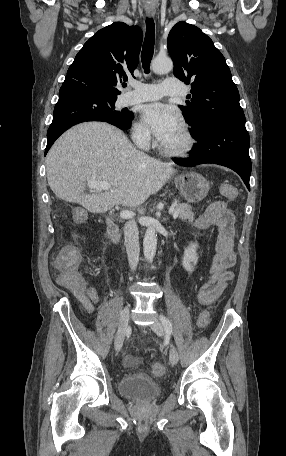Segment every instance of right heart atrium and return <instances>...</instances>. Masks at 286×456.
Returning <instances> with one entry per match:
<instances>
[{
    "mask_svg": "<svg viewBox=\"0 0 286 456\" xmlns=\"http://www.w3.org/2000/svg\"><path fill=\"white\" fill-rule=\"evenodd\" d=\"M133 140L143 147L151 143V135L147 127L142 122H137L133 128Z\"/></svg>",
    "mask_w": 286,
    "mask_h": 456,
    "instance_id": "1",
    "label": "right heart atrium"
}]
</instances>
